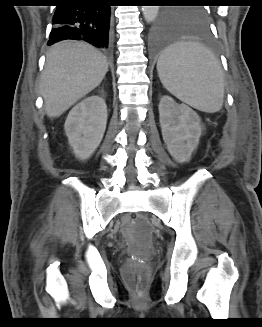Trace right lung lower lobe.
<instances>
[{
    "label": "right lung lower lobe",
    "mask_w": 262,
    "mask_h": 327,
    "mask_svg": "<svg viewBox=\"0 0 262 327\" xmlns=\"http://www.w3.org/2000/svg\"><path fill=\"white\" fill-rule=\"evenodd\" d=\"M63 3L56 7L48 45L76 39L108 50L111 38L110 6L104 0H63Z\"/></svg>",
    "instance_id": "1"
}]
</instances>
